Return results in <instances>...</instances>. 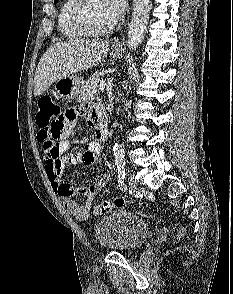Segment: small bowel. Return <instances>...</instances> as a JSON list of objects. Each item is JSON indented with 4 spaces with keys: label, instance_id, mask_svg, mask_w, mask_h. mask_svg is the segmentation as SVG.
<instances>
[{
    "label": "small bowel",
    "instance_id": "1",
    "mask_svg": "<svg viewBox=\"0 0 233 294\" xmlns=\"http://www.w3.org/2000/svg\"><path fill=\"white\" fill-rule=\"evenodd\" d=\"M95 108L96 106L58 108L55 111L57 120H50V126H44V131L48 132H38L45 155V171L52 189L62 201L65 209L80 221L89 217L95 197L109 181V172L104 171L100 179L90 186L79 188H74L65 182L62 173L67 165L92 166L101 162L102 146L99 140L91 141L83 151L75 152H70L71 145L68 142V137H72L71 127L75 126L79 116L84 117L89 126L95 129ZM75 194L83 195L85 202L77 203L72 198Z\"/></svg>",
    "mask_w": 233,
    "mask_h": 294
}]
</instances>
